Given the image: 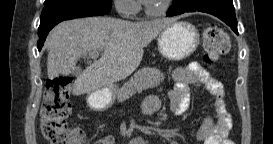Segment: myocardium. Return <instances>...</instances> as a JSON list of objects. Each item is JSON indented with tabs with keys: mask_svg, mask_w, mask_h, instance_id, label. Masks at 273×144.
<instances>
[{
	"mask_svg": "<svg viewBox=\"0 0 273 144\" xmlns=\"http://www.w3.org/2000/svg\"><path fill=\"white\" fill-rule=\"evenodd\" d=\"M173 2L174 0H165L162 5L157 9H153L148 4L144 3V10L150 15H160L166 13L173 4Z\"/></svg>",
	"mask_w": 273,
	"mask_h": 144,
	"instance_id": "myocardium-1",
	"label": "myocardium"
}]
</instances>
